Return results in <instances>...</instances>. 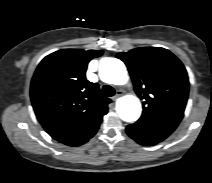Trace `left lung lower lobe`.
I'll use <instances>...</instances> for the list:
<instances>
[{"instance_id": "obj_1", "label": "left lung lower lobe", "mask_w": 212, "mask_h": 183, "mask_svg": "<svg viewBox=\"0 0 212 183\" xmlns=\"http://www.w3.org/2000/svg\"><path fill=\"white\" fill-rule=\"evenodd\" d=\"M127 134L141 145L151 146L163 141L172 132L136 122L127 126Z\"/></svg>"}]
</instances>
